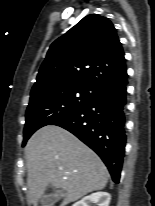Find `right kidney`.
I'll list each match as a JSON object with an SVG mask.
<instances>
[{
  "mask_svg": "<svg viewBox=\"0 0 155 206\" xmlns=\"http://www.w3.org/2000/svg\"><path fill=\"white\" fill-rule=\"evenodd\" d=\"M111 196L107 192H96L85 196L72 206H109Z\"/></svg>",
  "mask_w": 155,
  "mask_h": 206,
  "instance_id": "ca27d5eb",
  "label": "right kidney"
}]
</instances>
